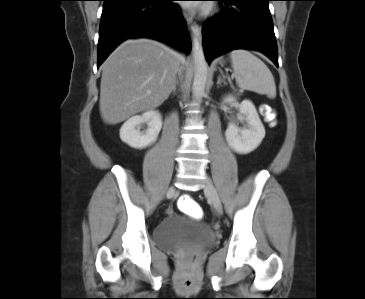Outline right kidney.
<instances>
[{"instance_id":"right-kidney-1","label":"right kidney","mask_w":365,"mask_h":299,"mask_svg":"<svg viewBox=\"0 0 365 299\" xmlns=\"http://www.w3.org/2000/svg\"><path fill=\"white\" fill-rule=\"evenodd\" d=\"M148 123L145 133L137 128L141 123ZM162 117L158 111L150 110L141 116L128 119L120 129L121 140L132 148L143 149L156 141L162 128Z\"/></svg>"}]
</instances>
